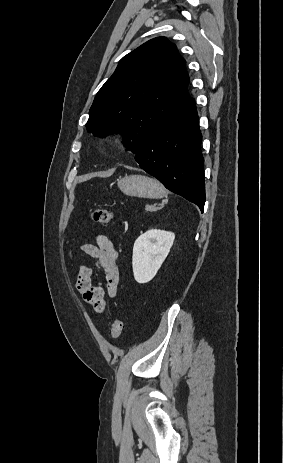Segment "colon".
I'll return each instance as SVG.
<instances>
[{
  "instance_id": "colon-1",
  "label": "colon",
  "mask_w": 283,
  "mask_h": 463,
  "mask_svg": "<svg viewBox=\"0 0 283 463\" xmlns=\"http://www.w3.org/2000/svg\"><path fill=\"white\" fill-rule=\"evenodd\" d=\"M113 212L105 208H97L91 212V220L97 224H108L111 222ZM124 330V322L121 318H116L112 324L111 336L118 339Z\"/></svg>"
}]
</instances>
